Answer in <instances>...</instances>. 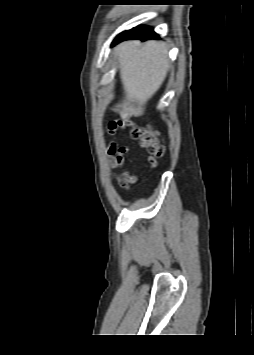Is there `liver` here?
Masks as SVG:
<instances>
[{"mask_svg": "<svg viewBox=\"0 0 254 355\" xmlns=\"http://www.w3.org/2000/svg\"><path fill=\"white\" fill-rule=\"evenodd\" d=\"M168 49L162 42L126 41L114 50L120 65V78L125 97L117 104L122 118L141 116L147 101L164 82L169 61Z\"/></svg>", "mask_w": 254, "mask_h": 355, "instance_id": "6515ba94", "label": "liver"}]
</instances>
